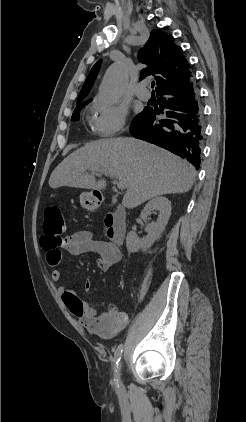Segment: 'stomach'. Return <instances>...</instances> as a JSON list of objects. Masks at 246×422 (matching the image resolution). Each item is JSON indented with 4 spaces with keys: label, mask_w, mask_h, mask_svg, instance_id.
<instances>
[{
    "label": "stomach",
    "mask_w": 246,
    "mask_h": 422,
    "mask_svg": "<svg viewBox=\"0 0 246 422\" xmlns=\"http://www.w3.org/2000/svg\"><path fill=\"white\" fill-rule=\"evenodd\" d=\"M80 203L82 207L88 210H92L96 206V201L93 193L83 192L80 195Z\"/></svg>",
    "instance_id": "stomach-1"
}]
</instances>
